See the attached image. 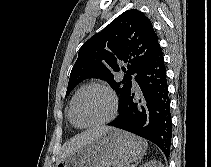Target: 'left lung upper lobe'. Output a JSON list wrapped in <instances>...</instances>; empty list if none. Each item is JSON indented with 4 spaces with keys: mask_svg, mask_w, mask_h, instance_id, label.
Returning <instances> with one entry per match:
<instances>
[{
    "mask_svg": "<svg viewBox=\"0 0 211 167\" xmlns=\"http://www.w3.org/2000/svg\"><path fill=\"white\" fill-rule=\"evenodd\" d=\"M159 47L152 23L144 13L136 9L125 11L80 48L66 96L80 81L100 77L120 94V104L131 89L132 75L136 76L147 65ZM123 63L126 68H121ZM120 69L125 78L118 83L114 74Z\"/></svg>",
    "mask_w": 211,
    "mask_h": 167,
    "instance_id": "1",
    "label": "left lung upper lobe"
}]
</instances>
